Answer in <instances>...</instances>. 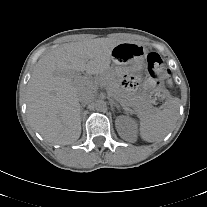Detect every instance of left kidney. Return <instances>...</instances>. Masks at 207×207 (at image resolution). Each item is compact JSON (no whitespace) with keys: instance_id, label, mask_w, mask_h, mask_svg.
Wrapping results in <instances>:
<instances>
[{"instance_id":"1","label":"left kidney","mask_w":207,"mask_h":207,"mask_svg":"<svg viewBox=\"0 0 207 207\" xmlns=\"http://www.w3.org/2000/svg\"><path fill=\"white\" fill-rule=\"evenodd\" d=\"M116 127L119 135L128 141H132L136 137L135 127L133 126V122L126 116H120L116 120Z\"/></svg>"}]
</instances>
